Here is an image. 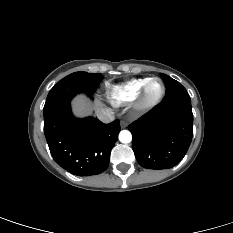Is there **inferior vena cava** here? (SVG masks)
<instances>
[{"label": "inferior vena cava", "instance_id": "602c4592", "mask_svg": "<svg viewBox=\"0 0 233 233\" xmlns=\"http://www.w3.org/2000/svg\"><path fill=\"white\" fill-rule=\"evenodd\" d=\"M96 115L103 123H110L114 120L113 112L110 110H98Z\"/></svg>", "mask_w": 233, "mask_h": 233}]
</instances>
